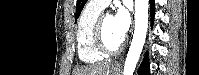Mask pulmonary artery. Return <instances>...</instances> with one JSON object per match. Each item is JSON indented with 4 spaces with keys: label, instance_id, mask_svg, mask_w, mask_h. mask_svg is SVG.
<instances>
[{
    "label": "pulmonary artery",
    "instance_id": "e3ab8cb5",
    "mask_svg": "<svg viewBox=\"0 0 199 75\" xmlns=\"http://www.w3.org/2000/svg\"><path fill=\"white\" fill-rule=\"evenodd\" d=\"M89 3L95 7L103 9L108 6L110 1L109 0H96V1H90Z\"/></svg>",
    "mask_w": 199,
    "mask_h": 75
}]
</instances>
